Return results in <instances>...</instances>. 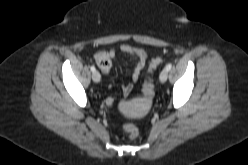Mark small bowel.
<instances>
[{
	"mask_svg": "<svg viewBox=\"0 0 248 165\" xmlns=\"http://www.w3.org/2000/svg\"><path fill=\"white\" fill-rule=\"evenodd\" d=\"M118 52L128 54L132 56L136 61L135 68L131 75V82L123 85L122 87V94L123 96L127 97L131 94L134 88V84L137 83L140 78L141 72L146 64L147 55L142 48L134 47L129 44H120L118 47L111 48L105 54L107 57V64L105 66L99 67L104 74L109 73L112 67L113 60L117 57ZM116 101L117 100L115 97H110L108 98L107 103L108 105L113 106Z\"/></svg>",
	"mask_w": 248,
	"mask_h": 165,
	"instance_id": "c3829d8e",
	"label": "small bowel"
}]
</instances>
